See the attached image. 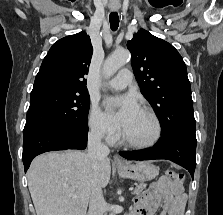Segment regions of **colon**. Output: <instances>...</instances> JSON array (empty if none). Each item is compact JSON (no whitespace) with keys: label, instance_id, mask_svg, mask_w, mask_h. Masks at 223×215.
<instances>
[{"label":"colon","instance_id":"colon-1","mask_svg":"<svg viewBox=\"0 0 223 215\" xmlns=\"http://www.w3.org/2000/svg\"><path fill=\"white\" fill-rule=\"evenodd\" d=\"M165 173L169 178L173 179L175 183L181 184L182 175L176 173L173 169H166Z\"/></svg>","mask_w":223,"mask_h":215}]
</instances>
